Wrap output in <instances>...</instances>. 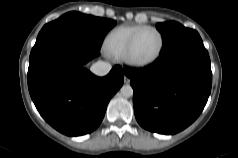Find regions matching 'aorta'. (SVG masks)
I'll use <instances>...</instances> for the list:
<instances>
[{
  "label": "aorta",
  "instance_id": "aorta-1",
  "mask_svg": "<svg viewBox=\"0 0 238 158\" xmlns=\"http://www.w3.org/2000/svg\"><path fill=\"white\" fill-rule=\"evenodd\" d=\"M120 91L124 97H131L133 95V88L130 85H123Z\"/></svg>",
  "mask_w": 238,
  "mask_h": 158
}]
</instances>
